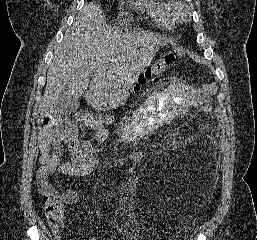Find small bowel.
I'll return each instance as SVG.
<instances>
[{"mask_svg": "<svg viewBox=\"0 0 257 240\" xmlns=\"http://www.w3.org/2000/svg\"><path fill=\"white\" fill-rule=\"evenodd\" d=\"M110 136L109 130L98 125L94 141L81 137L74 125L67 127H50L45 129L39 140V162L41 166L37 171V185L40 193L57 196L61 203L73 205L80 200L79 193L74 189L58 192L50 183L51 175H66L85 177L93 173L99 155V145ZM70 152L66 159L65 149ZM110 223L117 234L126 240H138L136 229L125 218L114 219ZM49 226L57 240L61 239V225L49 222ZM72 240V239H69ZM89 240H95L90 238Z\"/></svg>", "mask_w": 257, "mask_h": 240, "instance_id": "1", "label": "small bowel"}]
</instances>
